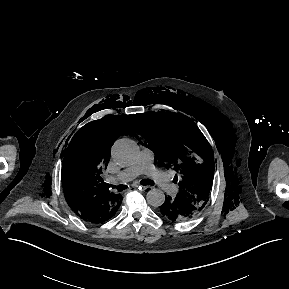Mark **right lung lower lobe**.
I'll return each instance as SVG.
<instances>
[{"label": "right lung lower lobe", "instance_id": "obj_1", "mask_svg": "<svg viewBox=\"0 0 289 289\" xmlns=\"http://www.w3.org/2000/svg\"><path fill=\"white\" fill-rule=\"evenodd\" d=\"M121 201H122V197H121L120 202H118L115 206H110V207L106 208L104 213L99 218L92 221V223H102V222H105L106 220L110 219L118 210V208L121 204Z\"/></svg>", "mask_w": 289, "mask_h": 289}]
</instances>
